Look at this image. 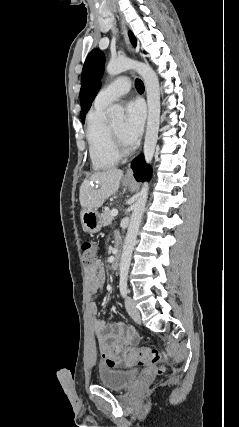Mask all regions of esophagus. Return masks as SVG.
<instances>
[{"label": "esophagus", "instance_id": "34e87169", "mask_svg": "<svg viewBox=\"0 0 239 427\" xmlns=\"http://www.w3.org/2000/svg\"><path fill=\"white\" fill-rule=\"evenodd\" d=\"M120 24H121V29H122V33H123L124 38H125L126 45L131 52H134V49L130 43V39L128 36L127 27L125 25V22L122 19H120ZM125 179H127V180L133 179V171H132L131 167H129V169L127 170V172L125 174Z\"/></svg>", "mask_w": 239, "mask_h": 427}]
</instances>
